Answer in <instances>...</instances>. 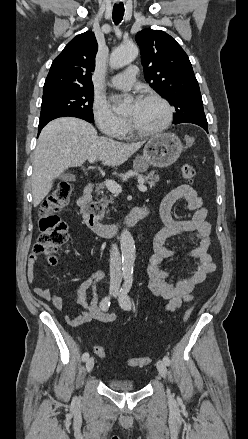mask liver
<instances>
[{"mask_svg": "<svg viewBox=\"0 0 248 439\" xmlns=\"http://www.w3.org/2000/svg\"><path fill=\"white\" fill-rule=\"evenodd\" d=\"M144 142L122 143L100 137L88 122L61 117L48 123L41 131L33 155L31 177L33 205L37 207L53 187V180L69 167L81 166L90 158L104 165L119 167Z\"/></svg>", "mask_w": 248, "mask_h": 439, "instance_id": "obj_1", "label": "liver"}]
</instances>
